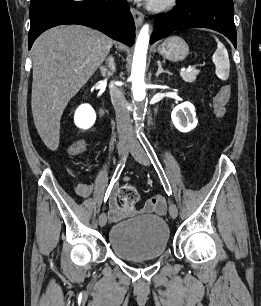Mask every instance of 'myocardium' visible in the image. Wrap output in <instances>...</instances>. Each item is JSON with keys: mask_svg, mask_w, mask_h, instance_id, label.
I'll return each mask as SVG.
<instances>
[{"mask_svg": "<svg viewBox=\"0 0 261 306\" xmlns=\"http://www.w3.org/2000/svg\"><path fill=\"white\" fill-rule=\"evenodd\" d=\"M177 3V0H151L149 8L152 11L161 12L173 8Z\"/></svg>", "mask_w": 261, "mask_h": 306, "instance_id": "f54148a6", "label": "myocardium"}]
</instances>
